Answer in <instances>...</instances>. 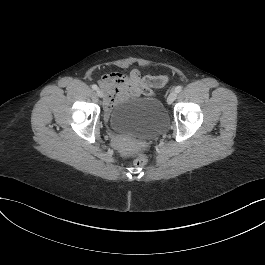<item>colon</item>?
<instances>
[{
  "label": "colon",
  "instance_id": "colon-1",
  "mask_svg": "<svg viewBox=\"0 0 265 265\" xmlns=\"http://www.w3.org/2000/svg\"><path fill=\"white\" fill-rule=\"evenodd\" d=\"M148 161V157L146 154H141L139 155L135 161H134V165L136 167H143Z\"/></svg>",
  "mask_w": 265,
  "mask_h": 265
}]
</instances>
